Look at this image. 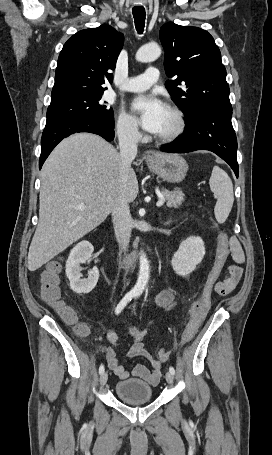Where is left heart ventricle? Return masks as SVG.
I'll return each instance as SVG.
<instances>
[{
	"label": "left heart ventricle",
	"mask_w": 272,
	"mask_h": 455,
	"mask_svg": "<svg viewBox=\"0 0 272 455\" xmlns=\"http://www.w3.org/2000/svg\"><path fill=\"white\" fill-rule=\"evenodd\" d=\"M173 124H174L173 116L167 110L164 122L162 124V127H161L160 131L158 132V135H162V134H165V133L169 132L172 129Z\"/></svg>",
	"instance_id": "obj_1"
}]
</instances>
